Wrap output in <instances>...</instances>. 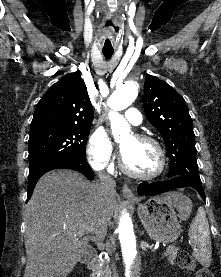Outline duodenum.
Returning a JSON list of instances; mask_svg holds the SVG:
<instances>
[{
    "label": "duodenum",
    "mask_w": 221,
    "mask_h": 277,
    "mask_svg": "<svg viewBox=\"0 0 221 277\" xmlns=\"http://www.w3.org/2000/svg\"><path fill=\"white\" fill-rule=\"evenodd\" d=\"M100 265V257L99 255H94L88 263V269L91 272V275H94L98 270Z\"/></svg>",
    "instance_id": "duodenum-1"
}]
</instances>
